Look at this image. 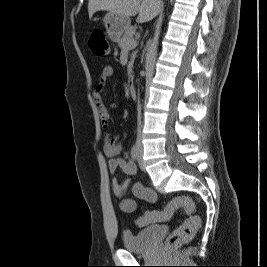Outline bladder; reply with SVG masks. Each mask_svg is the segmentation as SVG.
<instances>
[{
  "mask_svg": "<svg viewBox=\"0 0 267 267\" xmlns=\"http://www.w3.org/2000/svg\"><path fill=\"white\" fill-rule=\"evenodd\" d=\"M159 225H151L138 232L126 231L123 234V246L130 252L147 251L160 232Z\"/></svg>",
  "mask_w": 267,
  "mask_h": 267,
  "instance_id": "obj_1",
  "label": "bladder"
}]
</instances>
